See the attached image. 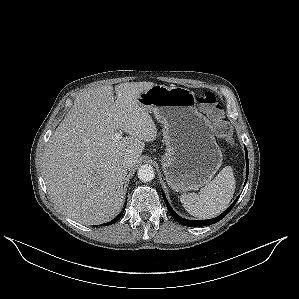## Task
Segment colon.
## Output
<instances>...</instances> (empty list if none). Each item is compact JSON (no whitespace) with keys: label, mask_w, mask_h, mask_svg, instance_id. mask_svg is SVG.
<instances>
[{"label":"colon","mask_w":299,"mask_h":299,"mask_svg":"<svg viewBox=\"0 0 299 299\" xmlns=\"http://www.w3.org/2000/svg\"><path fill=\"white\" fill-rule=\"evenodd\" d=\"M201 110L213 123L214 132L218 137L228 140L232 128L224 116V111L216 96L212 92H205L197 97Z\"/></svg>","instance_id":"1"}]
</instances>
